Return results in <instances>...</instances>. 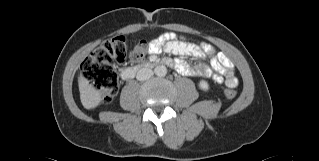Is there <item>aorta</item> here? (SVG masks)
Instances as JSON below:
<instances>
[{
    "mask_svg": "<svg viewBox=\"0 0 319 161\" xmlns=\"http://www.w3.org/2000/svg\"><path fill=\"white\" fill-rule=\"evenodd\" d=\"M154 73L159 77H164L167 74V68L164 65L157 66L154 69Z\"/></svg>",
    "mask_w": 319,
    "mask_h": 161,
    "instance_id": "1",
    "label": "aorta"
}]
</instances>
